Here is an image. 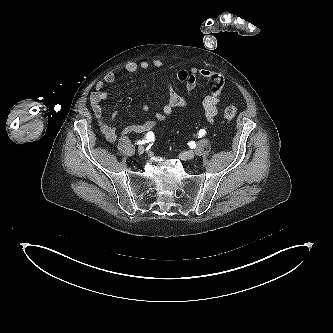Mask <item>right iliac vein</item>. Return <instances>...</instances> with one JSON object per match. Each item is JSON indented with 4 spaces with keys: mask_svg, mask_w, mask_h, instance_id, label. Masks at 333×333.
I'll return each mask as SVG.
<instances>
[{
    "mask_svg": "<svg viewBox=\"0 0 333 333\" xmlns=\"http://www.w3.org/2000/svg\"><path fill=\"white\" fill-rule=\"evenodd\" d=\"M145 151V148L143 146L138 147V153L143 154Z\"/></svg>",
    "mask_w": 333,
    "mask_h": 333,
    "instance_id": "63e3f726",
    "label": "right iliac vein"
}]
</instances>
